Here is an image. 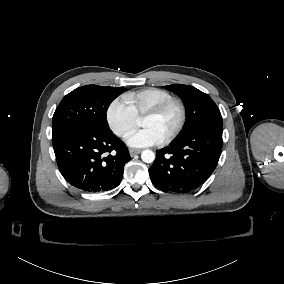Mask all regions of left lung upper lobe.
<instances>
[{"label":"left lung upper lobe","instance_id":"5c2ea615","mask_svg":"<svg viewBox=\"0 0 284 284\" xmlns=\"http://www.w3.org/2000/svg\"><path fill=\"white\" fill-rule=\"evenodd\" d=\"M178 94L186 106L187 122L183 133L206 126L222 127V116L214 101L193 86L173 84L165 86Z\"/></svg>","mask_w":284,"mask_h":284}]
</instances>
